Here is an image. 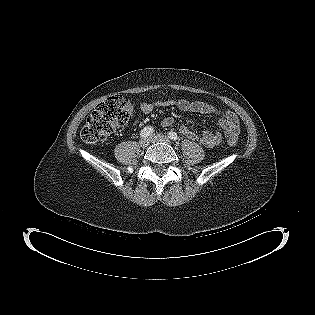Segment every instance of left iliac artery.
Returning <instances> with one entry per match:
<instances>
[{"label":"left iliac artery","mask_w":315,"mask_h":315,"mask_svg":"<svg viewBox=\"0 0 315 315\" xmlns=\"http://www.w3.org/2000/svg\"><path fill=\"white\" fill-rule=\"evenodd\" d=\"M168 137L174 141H177L179 139L177 133L172 132V131L168 133Z\"/></svg>","instance_id":"1"}]
</instances>
